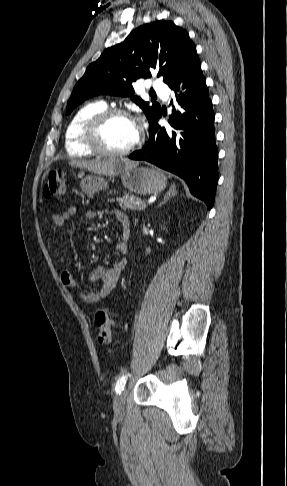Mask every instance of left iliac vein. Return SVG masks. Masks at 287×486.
<instances>
[{"mask_svg":"<svg viewBox=\"0 0 287 486\" xmlns=\"http://www.w3.org/2000/svg\"><path fill=\"white\" fill-rule=\"evenodd\" d=\"M127 397V390H123L114 401V412L117 417H122L125 411V402Z\"/></svg>","mask_w":287,"mask_h":486,"instance_id":"left-iliac-vein-1","label":"left iliac vein"}]
</instances>
